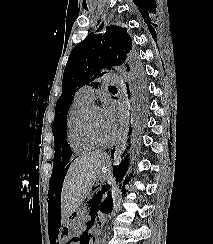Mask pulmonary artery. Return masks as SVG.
Listing matches in <instances>:
<instances>
[{"label":"pulmonary artery","instance_id":"e3ab8cb5","mask_svg":"<svg viewBox=\"0 0 213 244\" xmlns=\"http://www.w3.org/2000/svg\"><path fill=\"white\" fill-rule=\"evenodd\" d=\"M102 82L103 84L115 83L117 82V76L115 74H105L102 76ZM77 94L79 97L86 99L90 102H92L94 99L93 89L90 86H83L79 89Z\"/></svg>","mask_w":213,"mask_h":244}]
</instances>
